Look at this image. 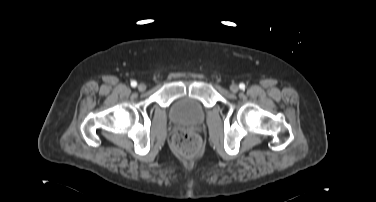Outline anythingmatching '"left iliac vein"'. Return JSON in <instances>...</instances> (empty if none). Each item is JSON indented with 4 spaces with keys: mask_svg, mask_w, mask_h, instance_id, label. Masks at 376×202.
I'll use <instances>...</instances> for the list:
<instances>
[{
    "mask_svg": "<svg viewBox=\"0 0 376 202\" xmlns=\"http://www.w3.org/2000/svg\"><path fill=\"white\" fill-rule=\"evenodd\" d=\"M230 90H231L233 93H236V92H238L239 87H238L237 84H231V86H230Z\"/></svg>",
    "mask_w": 376,
    "mask_h": 202,
    "instance_id": "obj_1",
    "label": "left iliac vein"
}]
</instances>
